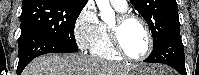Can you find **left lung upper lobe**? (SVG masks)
<instances>
[{
  "mask_svg": "<svg viewBox=\"0 0 199 75\" xmlns=\"http://www.w3.org/2000/svg\"><path fill=\"white\" fill-rule=\"evenodd\" d=\"M149 25L153 48L174 33L180 32L176 0H130Z\"/></svg>",
  "mask_w": 199,
  "mask_h": 75,
  "instance_id": "5c2ea615",
  "label": "left lung upper lobe"
}]
</instances>
